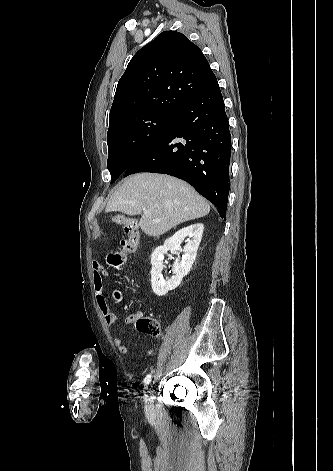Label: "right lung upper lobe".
<instances>
[{
  "label": "right lung upper lobe",
  "mask_w": 333,
  "mask_h": 471,
  "mask_svg": "<svg viewBox=\"0 0 333 471\" xmlns=\"http://www.w3.org/2000/svg\"><path fill=\"white\" fill-rule=\"evenodd\" d=\"M217 82L201 49L185 35L164 31L141 48L118 81L109 124L135 113H176Z\"/></svg>",
  "instance_id": "obj_1"
}]
</instances>
